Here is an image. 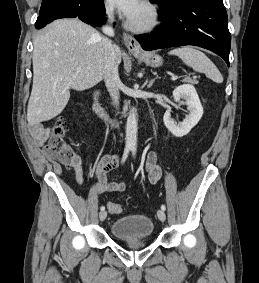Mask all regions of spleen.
<instances>
[{"label": "spleen", "instance_id": "3e777b00", "mask_svg": "<svg viewBox=\"0 0 259 283\" xmlns=\"http://www.w3.org/2000/svg\"><path fill=\"white\" fill-rule=\"evenodd\" d=\"M169 54L178 56L185 65L191 67L195 71L205 73L207 77L216 83L223 82V77L217 67L201 51L186 46L173 49Z\"/></svg>", "mask_w": 259, "mask_h": 283}]
</instances>
